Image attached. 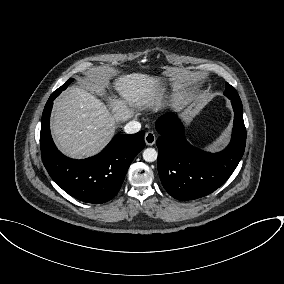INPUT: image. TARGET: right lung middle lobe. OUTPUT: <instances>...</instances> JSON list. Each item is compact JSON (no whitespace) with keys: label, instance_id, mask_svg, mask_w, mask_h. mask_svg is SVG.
<instances>
[{"label":"right lung middle lobe","instance_id":"obj_1","mask_svg":"<svg viewBox=\"0 0 284 284\" xmlns=\"http://www.w3.org/2000/svg\"><path fill=\"white\" fill-rule=\"evenodd\" d=\"M74 79L70 78L65 84H63L60 88H58L57 90H55L52 95H56L58 96L63 90H65L67 88V86L69 84H71L73 82Z\"/></svg>","mask_w":284,"mask_h":284}]
</instances>
